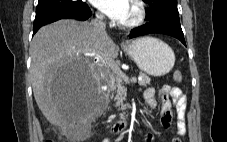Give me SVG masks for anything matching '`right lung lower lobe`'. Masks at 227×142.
Instances as JSON below:
<instances>
[{"label":"right lung lower lobe","mask_w":227,"mask_h":142,"mask_svg":"<svg viewBox=\"0 0 227 142\" xmlns=\"http://www.w3.org/2000/svg\"><path fill=\"white\" fill-rule=\"evenodd\" d=\"M91 16V10L87 5L73 8H59L52 9L47 11H42L36 13L34 25H33V34L37 32V30L46 25L48 23H52L54 21L60 19H77V20H86Z\"/></svg>","instance_id":"obj_1"}]
</instances>
